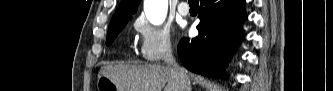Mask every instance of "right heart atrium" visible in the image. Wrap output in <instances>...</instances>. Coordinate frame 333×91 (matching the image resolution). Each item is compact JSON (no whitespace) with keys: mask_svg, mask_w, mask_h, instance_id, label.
<instances>
[{"mask_svg":"<svg viewBox=\"0 0 333 91\" xmlns=\"http://www.w3.org/2000/svg\"><path fill=\"white\" fill-rule=\"evenodd\" d=\"M134 29L140 38V54L145 61L156 63L171 56L174 42L170 28L139 17L134 21Z\"/></svg>","mask_w":333,"mask_h":91,"instance_id":"d8ad5b80","label":"right heart atrium"}]
</instances>
